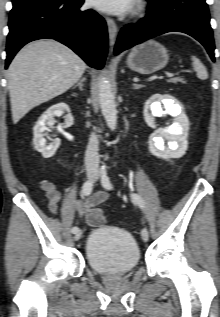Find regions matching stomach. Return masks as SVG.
<instances>
[{
    "label": "stomach",
    "mask_w": 220,
    "mask_h": 317,
    "mask_svg": "<svg viewBox=\"0 0 220 317\" xmlns=\"http://www.w3.org/2000/svg\"><path fill=\"white\" fill-rule=\"evenodd\" d=\"M169 61L167 49L155 40L135 46L127 58V66L140 74H152L164 68Z\"/></svg>",
    "instance_id": "stomach-1"
}]
</instances>
